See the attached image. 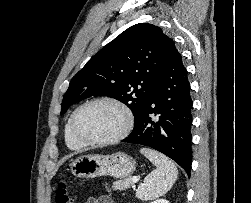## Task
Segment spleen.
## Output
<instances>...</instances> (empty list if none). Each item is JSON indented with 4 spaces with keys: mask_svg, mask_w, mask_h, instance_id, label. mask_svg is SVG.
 I'll list each match as a JSON object with an SVG mask.
<instances>
[{
    "mask_svg": "<svg viewBox=\"0 0 251 203\" xmlns=\"http://www.w3.org/2000/svg\"><path fill=\"white\" fill-rule=\"evenodd\" d=\"M140 152L156 166V169L145 177L136 190V196L144 201L154 200L171 189L178 171L175 164L160 152L146 147L141 148Z\"/></svg>",
    "mask_w": 251,
    "mask_h": 203,
    "instance_id": "1",
    "label": "spleen"
}]
</instances>
